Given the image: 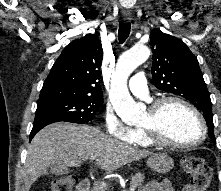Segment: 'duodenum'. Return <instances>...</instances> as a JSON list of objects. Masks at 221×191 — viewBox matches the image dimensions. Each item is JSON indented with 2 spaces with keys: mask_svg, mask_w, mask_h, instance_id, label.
Instances as JSON below:
<instances>
[{
  "mask_svg": "<svg viewBox=\"0 0 221 191\" xmlns=\"http://www.w3.org/2000/svg\"><path fill=\"white\" fill-rule=\"evenodd\" d=\"M91 184V179L89 177H85L78 183L76 191H90Z\"/></svg>",
  "mask_w": 221,
  "mask_h": 191,
  "instance_id": "410a0bca",
  "label": "duodenum"
}]
</instances>
